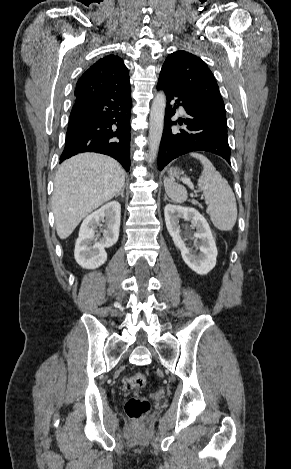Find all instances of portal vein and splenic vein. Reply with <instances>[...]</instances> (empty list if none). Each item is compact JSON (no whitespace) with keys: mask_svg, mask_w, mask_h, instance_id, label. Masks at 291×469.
Returning <instances> with one entry per match:
<instances>
[{"mask_svg":"<svg viewBox=\"0 0 291 469\" xmlns=\"http://www.w3.org/2000/svg\"><path fill=\"white\" fill-rule=\"evenodd\" d=\"M183 182H184L185 184H187L191 189H193V185H192V183L190 182V180L184 179Z\"/></svg>","mask_w":291,"mask_h":469,"instance_id":"obj_1","label":"portal vein and splenic vein"}]
</instances>
